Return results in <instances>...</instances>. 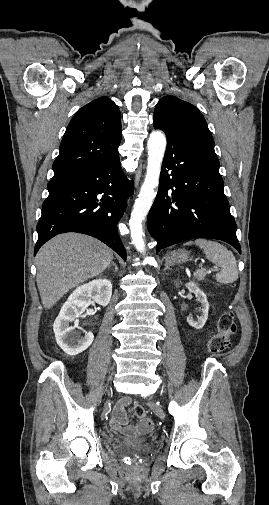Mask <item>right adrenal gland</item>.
Masks as SVG:
<instances>
[{
  "mask_svg": "<svg viewBox=\"0 0 269 505\" xmlns=\"http://www.w3.org/2000/svg\"><path fill=\"white\" fill-rule=\"evenodd\" d=\"M111 266H114L115 271L118 272V267L117 265L112 261V263L108 266V270L111 268Z\"/></svg>",
  "mask_w": 269,
  "mask_h": 505,
  "instance_id": "right-adrenal-gland-1",
  "label": "right adrenal gland"
}]
</instances>
